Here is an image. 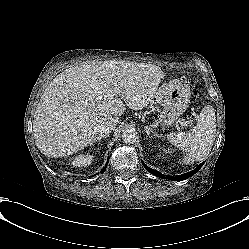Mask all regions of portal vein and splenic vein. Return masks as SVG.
I'll return each mask as SVG.
<instances>
[{"label": "portal vein and splenic vein", "instance_id": "18ae733b", "mask_svg": "<svg viewBox=\"0 0 249 249\" xmlns=\"http://www.w3.org/2000/svg\"><path fill=\"white\" fill-rule=\"evenodd\" d=\"M184 125H186V122H184L181 126L183 127Z\"/></svg>", "mask_w": 249, "mask_h": 249}]
</instances>
